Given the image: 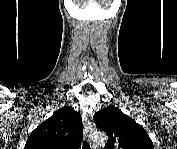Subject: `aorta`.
<instances>
[{
  "instance_id": "obj_1",
  "label": "aorta",
  "mask_w": 177,
  "mask_h": 149,
  "mask_svg": "<svg viewBox=\"0 0 177 149\" xmlns=\"http://www.w3.org/2000/svg\"><path fill=\"white\" fill-rule=\"evenodd\" d=\"M95 141L98 144H105V142L107 141V136L104 133L99 134L95 137Z\"/></svg>"
}]
</instances>
